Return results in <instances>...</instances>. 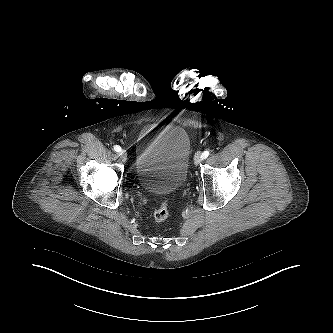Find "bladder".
Listing matches in <instances>:
<instances>
[{
  "label": "bladder",
  "mask_w": 333,
  "mask_h": 333,
  "mask_svg": "<svg viewBox=\"0 0 333 333\" xmlns=\"http://www.w3.org/2000/svg\"><path fill=\"white\" fill-rule=\"evenodd\" d=\"M191 155L188 133L180 126L169 125L153 136L144 137L138 146L135 174L146 191L165 195L185 183Z\"/></svg>",
  "instance_id": "obj_1"
}]
</instances>
